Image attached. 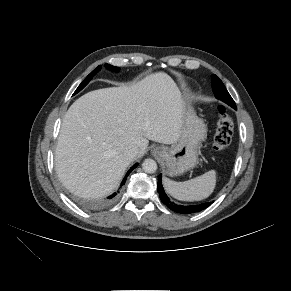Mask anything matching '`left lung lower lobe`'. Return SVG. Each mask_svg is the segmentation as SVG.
<instances>
[{"label":"left lung lower lobe","instance_id":"0a47b994","mask_svg":"<svg viewBox=\"0 0 291 291\" xmlns=\"http://www.w3.org/2000/svg\"><path fill=\"white\" fill-rule=\"evenodd\" d=\"M157 191L159 193L161 201L172 211H175L180 214H193L200 212L210 206L211 202L208 203H202L197 205H179L175 204L174 202L170 201L168 196L165 194V191L163 189L162 183H161V175L158 177V188Z\"/></svg>","mask_w":291,"mask_h":291}]
</instances>
